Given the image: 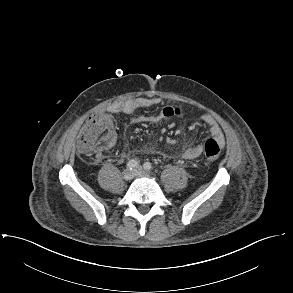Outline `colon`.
Instances as JSON below:
<instances>
[{"label":"colon","mask_w":293,"mask_h":293,"mask_svg":"<svg viewBox=\"0 0 293 293\" xmlns=\"http://www.w3.org/2000/svg\"><path fill=\"white\" fill-rule=\"evenodd\" d=\"M179 110L166 107L163 114L172 116L178 114ZM115 140V126L112 116L100 112L89 116L78 136L77 151L87 156H95L101 149L110 146ZM205 161L213 162L221 155V146L211 138L205 142Z\"/></svg>","instance_id":"obj_1"}]
</instances>
